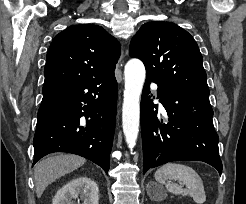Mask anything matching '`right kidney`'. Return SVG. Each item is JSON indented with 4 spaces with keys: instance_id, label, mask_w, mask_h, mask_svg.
Here are the masks:
<instances>
[{
    "instance_id": "right-kidney-1",
    "label": "right kidney",
    "mask_w": 246,
    "mask_h": 204,
    "mask_svg": "<svg viewBox=\"0 0 246 204\" xmlns=\"http://www.w3.org/2000/svg\"><path fill=\"white\" fill-rule=\"evenodd\" d=\"M78 197L82 204H98L97 184L85 176L74 178L57 191L52 204H73L72 199H78L79 202Z\"/></svg>"
}]
</instances>
